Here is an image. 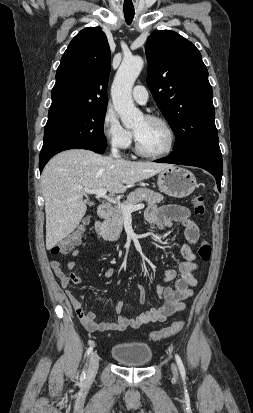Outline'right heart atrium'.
Wrapping results in <instances>:
<instances>
[{"instance_id": "d8ad5b80", "label": "right heart atrium", "mask_w": 253, "mask_h": 413, "mask_svg": "<svg viewBox=\"0 0 253 413\" xmlns=\"http://www.w3.org/2000/svg\"><path fill=\"white\" fill-rule=\"evenodd\" d=\"M102 133L106 141L113 147L119 150H125L132 143V134L124 128L116 115L107 110L102 118L101 123Z\"/></svg>"}]
</instances>
